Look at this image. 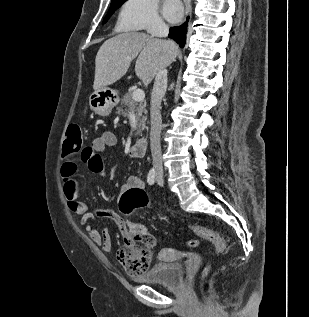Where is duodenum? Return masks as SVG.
<instances>
[{"instance_id":"1","label":"duodenum","mask_w":309,"mask_h":317,"mask_svg":"<svg viewBox=\"0 0 309 317\" xmlns=\"http://www.w3.org/2000/svg\"><path fill=\"white\" fill-rule=\"evenodd\" d=\"M147 142L145 138H139L129 148V155L131 157H142L145 155Z\"/></svg>"}]
</instances>
